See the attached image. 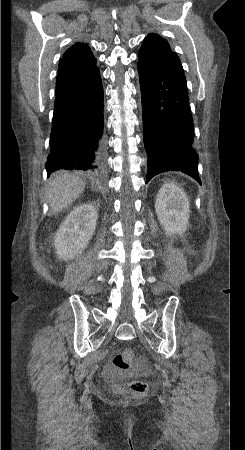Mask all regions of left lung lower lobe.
Instances as JSON below:
<instances>
[{
  "mask_svg": "<svg viewBox=\"0 0 245 450\" xmlns=\"http://www.w3.org/2000/svg\"><path fill=\"white\" fill-rule=\"evenodd\" d=\"M143 137L148 153L146 183L166 171H181L201 184L187 83L166 65L138 62Z\"/></svg>",
  "mask_w": 245,
  "mask_h": 450,
  "instance_id": "1",
  "label": "left lung lower lobe"
}]
</instances>
